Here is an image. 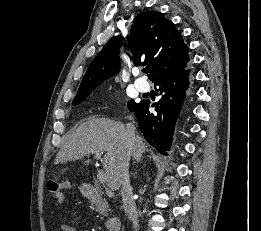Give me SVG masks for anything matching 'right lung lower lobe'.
<instances>
[{
	"label": "right lung lower lobe",
	"instance_id": "right-lung-lower-lobe-1",
	"mask_svg": "<svg viewBox=\"0 0 261 231\" xmlns=\"http://www.w3.org/2000/svg\"><path fill=\"white\" fill-rule=\"evenodd\" d=\"M192 81V72L189 66L185 69L164 76L154 82L159 86L157 91L161 99L151 105L156 113L149 112L150 102L142 100L130 110L135 112L141 132L147 142L159 153L168 155L174 127L182 109L186 92Z\"/></svg>",
	"mask_w": 261,
	"mask_h": 231
}]
</instances>
